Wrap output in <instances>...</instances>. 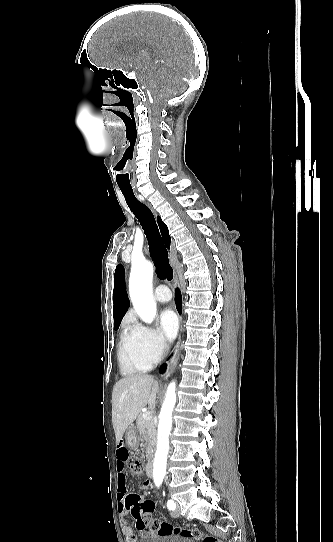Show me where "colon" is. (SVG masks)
Instances as JSON below:
<instances>
[{"mask_svg": "<svg viewBox=\"0 0 333 542\" xmlns=\"http://www.w3.org/2000/svg\"><path fill=\"white\" fill-rule=\"evenodd\" d=\"M130 469L134 475H141L145 472L146 466L142 459L131 457L129 463ZM128 512L135 522L138 531H144L152 540L159 537H168L172 534H180L184 539H193L201 542H227L224 536L216 538L210 535H202L198 530L187 527L179 528L167 521H160L152 516L155 504L153 500H139L137 493L131 490L127 496ZM130 542H139L137 539H130Z\"/></svg>", "mask_w": 333, "mask_h": 542, "instance_id": "colon-1", "label": "colon"}]
</instances>
